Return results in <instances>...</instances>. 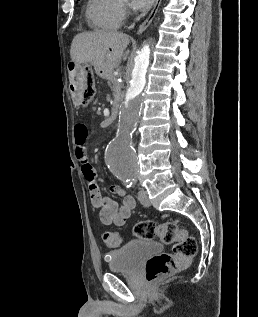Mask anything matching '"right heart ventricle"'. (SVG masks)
Here are the masks:
<instances>
[{"label":"right heart ventricle","mask_w":258,"mask_h":317,"mask_svg":"<svg viewBox=\"0 0 258 317\" xmlns=\"http://www.w3.org/2000/svg\"><path fill=\"white\" fill-rule=\"evenodd\" d=\"M123 0H89L86 5V18L95 30H117L123 22Z\"/></svg>","instance_id":"obj_1"}]
</instances>
